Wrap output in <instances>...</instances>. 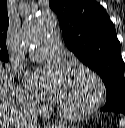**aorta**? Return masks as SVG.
I'll return each instance as SVG.
<instances>
[{
    "mask_svg": "<svg viewBox=\"0 0 125 128\" xmlns=\"http://www.w3.org/2000/svg\"><path fill=\"white\" fill-rule=\"evenodd\" d=\"M56 26V18L50 11L33 16L23 23L22 42L25 45L37 44L50 34Z\"/></svg>",
    "mask_w": 125,
    "mask_h": 128,
    "instance_id": "obj_1",
    "label": "aorta"
}]
</instances>
